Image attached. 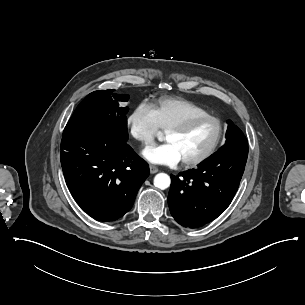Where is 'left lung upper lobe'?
<instances>
[{
    "label": "left lung upper lobe",
    "mask_w": 305,
    "mask_h": 305,
    "mask_svg": "<svg viewBox=\"0 0 305 305\" xmlns=\"http://www.w3.org/2000/svg\"><path fill=\"white\" fill-rule=\"evenodd\" d=\"M228 129L226 132V143L219 149H228L235 147H248V142L242 131L232 123L228 121Z\"/></svg>",
    "instance_id": "obj_1"
}]
</instances>
